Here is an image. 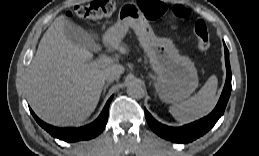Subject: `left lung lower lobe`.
I'll return each mask as SVG.
<instances>
[{"label":"left lung lower lobe","instance_id":"obj_1","mask_svg":"<svg viewBox=\"0 0 259 156\" xmlns=\"http://www.w3.org/2000/svg\"><path fill=\"white\" fill-rule=\"evenodd\" d=\"M225 48V62L227 77L221 97L214 110L206 117L182 127H170L156 121L145 109V117L150 128L160 137L175 143H189L208 132L223 115L231 93V69L229 63V51Z\"/></svg>","mask_w":259,"mask_h":156}]
</instances>
